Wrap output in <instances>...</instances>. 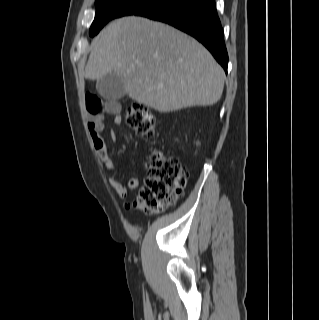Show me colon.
Listing matches in <instances>:
<instances>
[{
	"label": "colon",
	"instance_id": "colon-1",
	"mask_svg": "<svg viewBox=\"0 0 319 320\" xmlns=\"http://www.w3.org/2000/svg\"><path fill=\"white\" fill-rule=\"evenodd\" d=\"M124 118L139 137L151 139L155 135L156 118L145 105L131 104L124 110ZM145 170V183L134 206L154 215L182 197L187 172L177 157L157 151L147 158Z\"/></svg>",
	"mask_w": 319,
	"mask_h": 320
}]
</instances>
